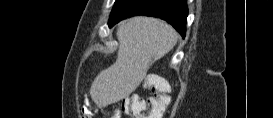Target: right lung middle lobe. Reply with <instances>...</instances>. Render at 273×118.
Returning a JSON list of instances; mask_svg holds the SVG:
<instances>
[{"instance_id": "1", "label": "right lung middle lobe", "mask_w": 273, "mask_h": 118, "mask_svg": "<svg viewBox=\"0 0 273 118\" xmlns=\"http://www.w3.org/2000/svg\"><path fill=\"white\" fill-rule=\"evenodd\" d=\"M123 2V0H116V2H115V5H114V7H113V10L120 4V3H122ZM112 10V11H113Z\"/></svg>"}]
</instances>
